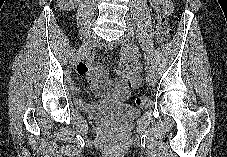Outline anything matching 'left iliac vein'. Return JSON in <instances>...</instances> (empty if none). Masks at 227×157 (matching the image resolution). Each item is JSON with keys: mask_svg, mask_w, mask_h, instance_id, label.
<instances>
[{"mask_svg": "<svg viewBox=\"0 0 227 157\" xmlns=\"http://www.w3.org/2000/svg\"><path fill=\"white\" fill-rule=\"evenodd\" d=\"M132 36H133V29L128 28L127 32L121 38L118 39V42L122 44H127L131 40ZM147 83L150 86H153L155 84V75L151 70H148L147 72Z\"/></svg>", "mask_w": 227, "mask_h": 157, "instance_id": "1", "label": "left iliac vein"}]
</instances>
